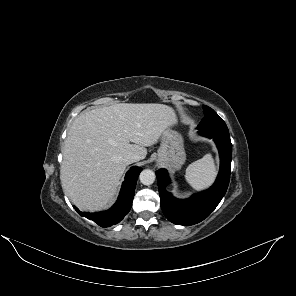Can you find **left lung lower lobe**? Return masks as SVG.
I'll return each instance as SVG.
<instances>
[{
    "mask_svg": "<svg viewBox=\"0 0 296 296\" xmlns=\"http://www.w3.org/2000/svg\"><path fill=\"white\" fill-rule=\"evenodd\" d=\"M202 136L213 138L220 155V171L213 186L189 199L180 200L167 192L170 183L165 169L156 171L161 209L166 218L178 225H194L207 218L226 193L231 172L232 144L228 128L199 129Z\"/></svg>",
    "mask_w": 296,
    "mask_h": 296,
    "instance_id": "left-lung-lower-lobe-1",
    "label": "left lung lower lobe"
}]
</instances>
